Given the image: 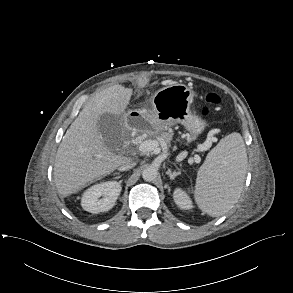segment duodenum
Returning a JSON list of instances; mask_svg holds the SVG:
<instances>
[{
	"instance_id": "duodenum-1",
	"label": "duodenum",
	"mask_w": 293,
	"mask_h": 293,
	"mask_svg": "<svg viewBox=\"0 0 293 293\" xmlns=\"http://www.w3.org/2000/svg\"><path fill=\"white\" fill-rule=\"evenodd\" d=\"M126 121H127V123H129V124L132 123V119H131V116H130V115H128V116L126 117ZM138 121H142V118L139 117V118H138Z\"/></svg>"
}]
</instances>
